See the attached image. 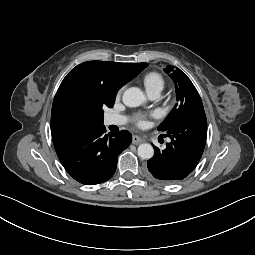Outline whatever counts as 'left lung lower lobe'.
Instances as JSON below:
<instances>
[{
    "mask_svg": "<svg viewBox=\"0 0 255 255\" xmlns=\"http://www.w3.org/2000/svg\"><path fill=\"white\" fill-rule=\"evenodd\" d=\"M164 135L171 142L162 151L154 146L155 154L147 167L154 179L171 184L189 176L202 156L207 138L204 109L175 124Z\"/></svg>",
    "mask_w": 255,
    "mask_h": 255,
    "instance_id": "obj_1",
    "label": "left lung lower lobe"
}]
</instances>
